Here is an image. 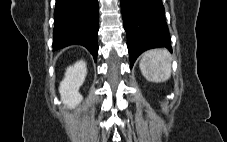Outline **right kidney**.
Masks as SVG:
<instances>
[{"label":"right kidney","mask_w":227,"mask_h":142,"mask_svg":"<svg viewBox=\"0 0 227 142\" xmlns=\"http://www.w3.org/2000/svg\"><path fill=\"white\" fill-rule=\"evenodd\" d=\"M87 74L86 63L83 60L69 66L65 77L60 83L59 93L62 102L68 108H75L83 99L79 93V88L83 84Z\"/></svg>","instance_id":"ca27d5eb"}]
</instances>
